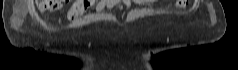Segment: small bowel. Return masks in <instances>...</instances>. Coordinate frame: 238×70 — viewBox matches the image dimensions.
<instances>
[{
    "instance_id": "obj_1",
    "label": "small bowel",
    "mask_w": 238,
    "mask_h": 70,
    "mask_svg": "<svg viewBox=\"0 0 238 70\" xmlns=\"http://www.w3.org/2000/svg\"><path fill=\"white\" fill-rule=\"evenodd\" d=\"M147 0H99L94 5V11L100 12L103 9H114L123 10L124 8H131L132 4L142 5L145 4ZM90 5L92 1L88 0H78L71 7L68 18L70 20H75L79 17ZM178 5H181L178 3Z\"/></svg>"
}]
</instances>
